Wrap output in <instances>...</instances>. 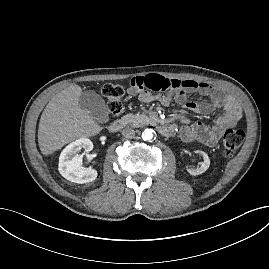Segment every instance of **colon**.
I'll use <instances>...</instances> for the list:
<instances>
[{
	"mask_svg": "<svg viewBox=\"0 0 269 269\" xmlns=\"http://www.w3.org/2000/svg\"><path fill=\"white\" fill-rule=\"evenodd\" d=\"M124 87L120 84H105L102 94L107 101V107L111 114L116 115L122 110ZM244 132L241 129H228L223 135L224 156L229 158L240 148L244 140Z\"/></svg>",
	"mask_w": 269,
	"mask_h": 269,
	"instance_id": "colon-1",
	"label": "colon"
}]
</instances>
